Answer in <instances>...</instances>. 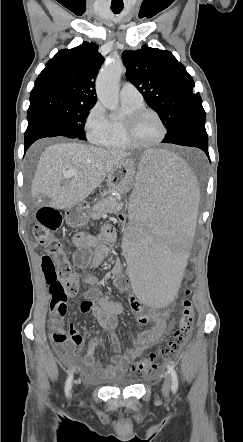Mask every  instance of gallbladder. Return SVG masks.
<instances>
[{"label":"gallbladder","mask_w":243,"mask_h":442,"mask_svg":"<svg viewBox=\"0 0 243 442\" xmlns=\"http://www.w3.org/2000/svg\"><path fill=\"white\" fill-rule=\"evenodd\" d=\"M50 200H51L50 197H48V196L45 197L44 195H40L34 199V203L36 206H41L44 204V202L48 203V202H50Z\"/></svg>","instance_id":"gallbladder-1"}]
</instances>
